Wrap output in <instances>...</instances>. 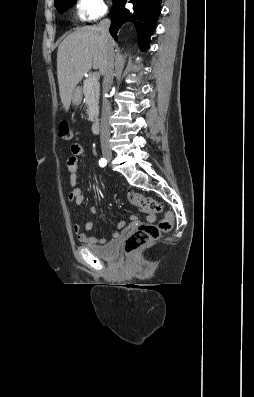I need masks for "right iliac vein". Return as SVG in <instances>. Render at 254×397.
<instances>
[{"label":"right iliac vein","instance_id":"right-iliac-vein-1","mask_svg":"<svg viewBox=\"0 0 254 397\" xmlns=\"http://www.w3.org/2000/svg\"><path fill=\"white\" fill-rule=\"evenodd\" d=\"M104 157H105L107 160H111L112 154H111V153H104Z\"/></svg>","mask_w":254,"mask_h":397}]
</instances>
